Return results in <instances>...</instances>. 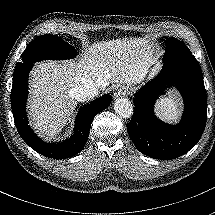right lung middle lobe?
I'll return each instance as SVG.
<instances>
[{
	"instance_id": "obj_1",
	"label": "right lung middle lobe",
	"mask_w": 215,
	"mask_h": 215,
	"mask_svg": "<svg viewBox=\"0 0 215 215\" xmlns=\"http://www.w3.org/2000/svg\"><path fill=\"white\" fill-rule=\"evenodd\" d=\"M77 55L76 49L55 35H42L33 40L21 55V64H33L41 60L69 59Z\"/></svg>"
}]
</instances>
